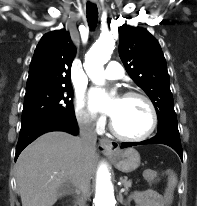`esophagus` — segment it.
<instances>
[{"instance_id":"34e87169","label":"esophagus","mask_w":197,"mask_h":206,"mask_svg":"<svg viewBox=\"0 0 197 206\" xmlns=\"http://www.w3.org/2000/svg\"><path fill=\"white\" fill-rule=\"evenodd\" d=\"M92 3H97V0H91ZM99 148L105 154H113L119 148V144L107 138H102L99 143Z\"/></svg>"}]
</instances>
